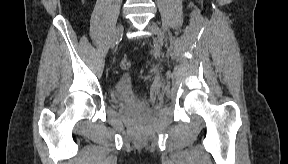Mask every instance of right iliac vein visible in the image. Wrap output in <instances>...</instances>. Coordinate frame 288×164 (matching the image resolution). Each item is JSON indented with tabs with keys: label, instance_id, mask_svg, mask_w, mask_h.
Here are the masks:
<instances>
[{
	"label": "right iliac vein",
	"instance_id": "1",
	"mask_svg": "<svg viewBox=\"0 0 288 164\" xmlns=\"http://www.w3.org/2000/svg\"><path fill=\"white\" fill-rule=\"evenodd\" d=\"M123 32V26L121 24L117 25L114 29L112 39H111V47L121 38Z\"/></svg>",
	"mask_w": 288,
	"mask_h": 164
}]
</instances>
